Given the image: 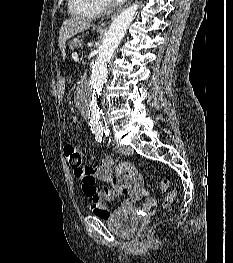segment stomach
Listing matches in <instances>:
<instances>
[{"instance_id":"1","label":"stomach","mask_w":233,"mask_h":263,"mask_svg":"<svg viewBox=\"0 0 233 263\" xmlns=\"http://www.w3.org/2000/svg\"><path fill=\"white\" fill-rule=\"evenodd\" d=\"M97 32H101V30L97 29ZM54 81L58 82L57 83V90L58 91H65L66 88H70V83H65L64 77H55Z\"/></svg>"}]
</instances>
